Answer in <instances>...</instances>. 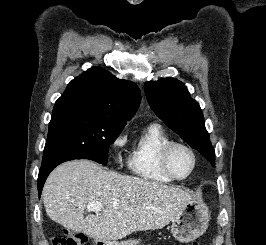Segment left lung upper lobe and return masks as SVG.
<instances>
[{
	"label": "left lung upper lobe",
	"mask_w": 266,
	"mask_h": 245,
	"mask_svg": "<svg viewBox=\"0 0 266 245\" xmlns=\"http://www.w3.org/2000/svg\"><path fill=\"white\" fill-rule=\"evenodd\" d=\"M147 100L162 121L212 164L215 154L198 103L175 78H161L144 85Z\"/></svg>",
	"instance_id": "left-lung-upper-lobe-1"
}]
</instances>
